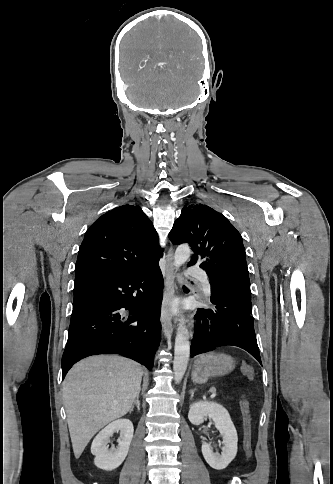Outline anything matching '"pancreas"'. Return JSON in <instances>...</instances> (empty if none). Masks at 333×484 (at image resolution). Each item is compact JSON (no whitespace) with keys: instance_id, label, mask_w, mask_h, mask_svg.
Here are the masks:
<instances>
[{"instance_id":"1","label":"pancreas","mask_w":333,"mask_h":484,"mask_svg":"<svg viewBox=\"0 0 333 484\" xmlns=\"http://www.w3.org/2000/svg\"><path fill=\"white\" fill-rule=\"evenodd\" d=\"M213 388H214V387H212V388L210 389V392H211V390H212Z\"/></svg>"}]
</instances>
